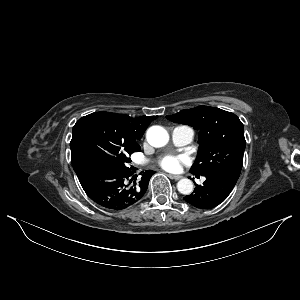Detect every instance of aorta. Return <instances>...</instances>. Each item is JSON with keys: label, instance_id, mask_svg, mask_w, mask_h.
<instances>
[{"label": "aorta", "instance_id": "1", "mask_svg": "<svg viewBox=\"0 0 300 300\" xmlns=\"http://www.w3.org/2000/svg\"><path fill=\"white\" fill-rule=\"evenodd\" d=\"M146 138L153 147H163L169 141L168 132L161 126H152L147 130ZM178 191L183 195H189L193 192L194 185L190 179L184 178L177 183Z\"/></svg>", "mask_w": 300, "mask_h": 300}]
</instances>
